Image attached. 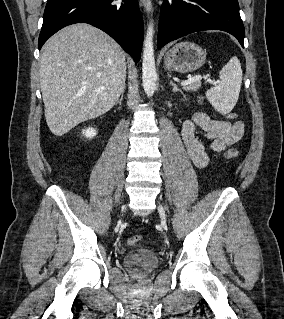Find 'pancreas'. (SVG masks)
I'll list each match as a JSON object with an SVG mask.
<instances>
[{
	"instance_id": "1",
	"label": "pancreas",
	"mask_w": 284,
	"mask_h": 319,
	"mask_svg": "<svg viewBox=\"0 0 284 319\" xmlns=\"http://www.w3.org/2000/svg\"><path fill=\"white\" fill-rule=\"evenodd\" d=\"M200 86H201L200 82H194V83H191V84L185 86L184 90L185 91H197ZM198 98H199L198 102L202 103L203 102V97H198Z\"/></svg>"
}]
</instances>
